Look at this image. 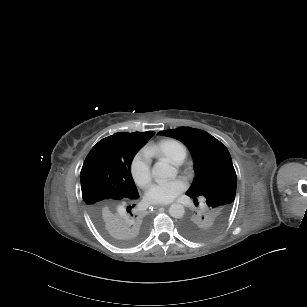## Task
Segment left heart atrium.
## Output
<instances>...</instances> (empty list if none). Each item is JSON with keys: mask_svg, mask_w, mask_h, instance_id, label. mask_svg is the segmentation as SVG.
I'll return each mask as SVG.
<instances>
[{"mask_svg": "<svg viewBox=\"0 0 307 307\" xmlns=\"http://www.w3.org/2000/svg\"><path fill=\"white\" fill-rule=\"evenodd\" d=\"M183 184L178 180L156 181L145 189V198L151 204H167L173 201L182 191Z\"/></svg>", "mask_w": 307, "mask_h": 307, "instance_id": "39dd6f15", "label": "left heart atrium"}]
</instances>
